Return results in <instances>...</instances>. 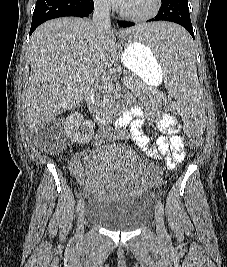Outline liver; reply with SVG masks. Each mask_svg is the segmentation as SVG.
Here are the masks:
<instances>
[{
    "instance_id": "6515ba94",
    "label": "liver",
    "mask_w": 227,
    "mask_h": 267,
    "mask_svg": "<svg viewBox=\"0 0 227 267\" xmlns=\"http://www.w3.org/2000/svg\"><path fill=\"white\" fill-rule=\"evenodd\" d=\"M125 33L133 30L98 31L92 21L75 17L50 20L34 31L26 92L32 133L83 100L91 84L115 63L116 36L125 38Z\"/></svg>"
}]
</instances>
